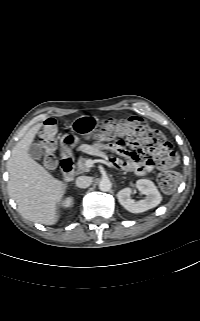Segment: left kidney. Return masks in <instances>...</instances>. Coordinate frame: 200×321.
I'll list each match as a JSON object with an SVG mask.
<instances>
[{
    "mask_svg": "<svg viewBox=\"0 0 200 321\" xmlns=\"http://www.w3.org/2000/svg\"><path fill=\"white\" fill-rule=\"evenodd\" d=\"M136 188L142 194L146 195L144 200L135 202L131 198L132 189L129 187L120 190L117 194L119 203L126 210L131 213H142L160 204L162 200L161 194L152 181L148 179H140L136 182Z\"/></svg>",
    "mask_w": 200,
    "mask_h": 321,
    "instance_id": "obj_1",
    "label": "left kidney"
}]
</instances>
